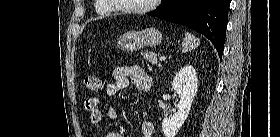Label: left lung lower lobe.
I'll return each instance as SVG.
<instances>
[{"label": "left lung lower lobe", "mask_w": 280, "mask_h": 137, "mask_svg": "<svg viewBox=\"0 0 280 137\" xmlns=\"http://www.w3.org/2000/svg\"><path fill=\"white\" fill-rule=\"evenodd\" d=\"M230 0H166L150 16L185 25L206 36L222 58Z\"/></svg>", "instance_id": "1"}]
</instances>
